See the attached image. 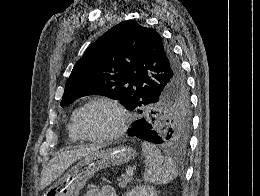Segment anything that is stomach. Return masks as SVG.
I'll list each match as a JSON object with an SVG mask.
<instances>
[{
	"label": "stomach",
	"instance_id": "1",
	"mask_svg": "<svg viewBox=\"0 0 260 196\" xmlns=\"http://www.w3.org/2000/svg\"><path fill=\"white\" fill-rule=\"evenodd\" d=\"M135 156L136 152L130 146H116V148L89 154L69 170L68 180H58V185H68L67 187H49L45 196H79L80 190H83L86 182L96 172L111 166L127 164L130 160H134Z\"/></svg>",
	"mask_w": 260,
	"mask_h": 196
}]
</instances>
